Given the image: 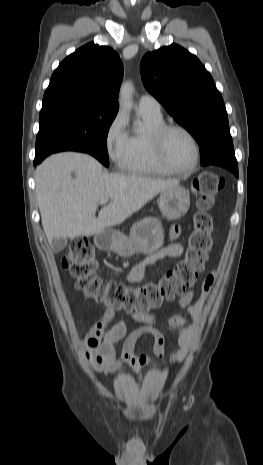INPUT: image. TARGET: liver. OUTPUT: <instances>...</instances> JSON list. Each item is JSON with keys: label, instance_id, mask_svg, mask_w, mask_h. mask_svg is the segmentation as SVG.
Instances as JSON below:
<instances>
[{"label": "liver", "instance_id": "obj_1", "mask_svg": "<svg viewBox=\"0 0 263 465\" xmlns=\"http://www.w3.org/2000/svg\"><path fill=\"white\" fill-rule=\"evenodd\" d=\"M35 183L49 244L56 238L91 236L121 224L157 194L179 185L176 179L103 174L95 158L74 152L47 158L37 168ZM102 199L111 201L96 217Z\"/></svg>", "mask_w": 263, "mask_h": 465}]
</instances>
